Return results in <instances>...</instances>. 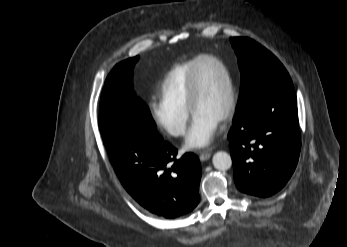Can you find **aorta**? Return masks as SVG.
<instances>
[{
  "label": "aorta",
  "mask_w": 347,
  "mask_h": 247,
  "mask_svg": "<svg viewBox=\"0 0 347 247\" xmlns=\"http://www.w3.org/2000/svg\"><path fill=\"white\" fill-rule=\"evenodd\" d=\"M214 167L220 171H226L232 166L231 156L224 151H219L214 154L212 158Z\"/></svg>",
  "instance_id": "1"
}]
</instances>
